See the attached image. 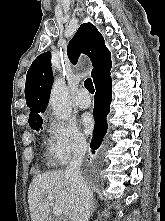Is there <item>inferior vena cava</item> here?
<instances>
[{
    "label": "inferior vena cava",
    "instance_id": "602c4592",
    "mask_svg": "<svg viewBox=\"0 0 165 221\" xmlns=\"http://www.w3.org/2000/svg\"><path fill=\"white\" fill-rule=\"evenodd\" d=\"M86 152V141H78L77 145L74 147L73 159L66 170V175L69 176L74 190L71 221H89L91 213L92 192L87 186L80 170Z\"/></svg>",
    "mask_w": 165,
    "mask_h": 221
}]
</instances>
